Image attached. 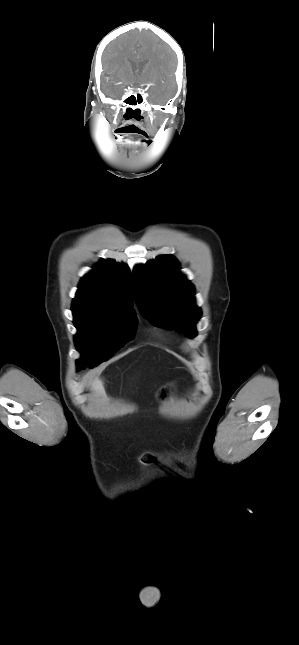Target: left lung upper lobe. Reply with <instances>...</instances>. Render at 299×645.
I'll return each mask as SVG.
<instances>
[{
    "label": "left lung upper lobe",
    "mask_w": 299,
    "mask_h": 645,
    "mask_svg": "<svg viewBox=\"0 0 299 645\" xmlns=\"http://www.w3.org/2000/svg\"><path fill=\"white\" fill-rule=\"evenodd\" d=\"M179 263L171 255H161L134 268L133 296L143 315L153 324L174 328L190 338L201 310L194 303L195 290L185 277L179 276Z\"/></svg>",
    "instance_id": "obj_1"
}]
</instances>
